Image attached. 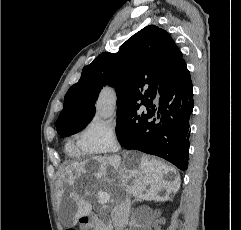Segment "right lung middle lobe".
I'll use <instances>...</instances> for the list:
<instances>
[{
    "instance_id": "dd1d6c3e",
    "label": "right lung middle lobe",
    "mask_w": 241,
    "mask_h": 230,
    "mask_svg": "<svg viewBox=\"0 0 241 230\" xmlns=\"http://www.w3.org/2000/svg\"><path fill=\"white\" fill-rule=\"evenodd\" d=\"M147 105V103H143ZM141 104L132 107H122L117 109L116 134L120 143H124L130 134L137 131L147 120V111H142ZM89 122L79 124L73 128L57 131L61 136L67 137L82 130Z\"/></svg>"
}]
</instances>
